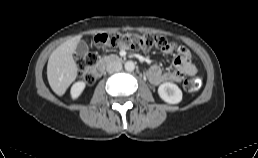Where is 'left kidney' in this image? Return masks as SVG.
Here are the masks:
<instances>
[{"mask_svg": "<svg viewBox=\"0 0 258 158\" xmlns=\"http://www.w3.org/2000/svg\"><path fill=\"white\" fill-rule=\"evenodd\" d=\"M158 94L163 101L169 104H177L182 100V91L174 83L161 84L158 88Z\"/></svg>", "mask_w": 258, "mask_h": 158, "instance_id": "left-kidney-1", "label": "left kidney"}]
</instances>
